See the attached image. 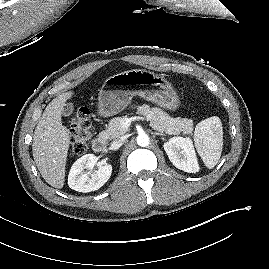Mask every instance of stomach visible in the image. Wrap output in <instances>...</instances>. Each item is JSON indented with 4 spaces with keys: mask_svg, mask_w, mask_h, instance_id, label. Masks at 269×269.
I'll return each instance as SVG.
<instances>
[{
    "mask_svg": "<svg viewBox=\"0 0 269 269\" xmlns=\"http://www.w3.org/2000/svg\"><path fill=\"white\" fill-rule=\"evenodd\" d=\"M136 95L169 111H175L181 105L175 88L163 76L132 69L105 80L98 97L99 115L109 117L120 113Z\"/></svg>",
    "mask_w": 269,
    "mask_h": 269,
    "instance_id": "obj_1",
    "label": "stomach"
}]
</instances>
